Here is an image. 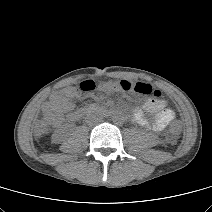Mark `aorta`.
I'll return each instance as SVG.
<instances>
[{"mask_svg":"<svg viewBox=\"0 0 212 212\" xmlns=\"http://www.w3.org/2000/svg\"><path fill=\"white\" fill-rule=\"evenodd\" d=\"M113 120L115 122H121L123 120V116L121 115V113H116L113 115Z\"/></svg>","mask_w":212,"mask_h":212,"instance_id":"1","label":"aorta"}]
</instances>
